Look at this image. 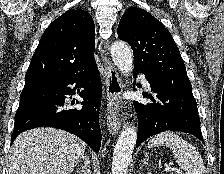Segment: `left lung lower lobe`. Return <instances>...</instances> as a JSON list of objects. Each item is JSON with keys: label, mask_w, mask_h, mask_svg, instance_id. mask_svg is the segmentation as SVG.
Wrapping results in <instances>:
<instances>
[{"label": "left lung lower lobe", "mask_w": 224, "mask_h": 174, "mask_svg": "<svg viewBox=\"0 0 224 174\" xmlns=\"http://www.w3.org/2000/svg\"><path fill=\"white\" fill-rule=\"evenodd\" d=\"M134 73L140 72L134 70ZM145 76L155 96H149L154 103H134L138 112L136 147L149 137L165 131L186 132L203 141L191 83Z\"/></svg>", "instance_id": "left-lung-lower-lobe-1"}]
</instances>
